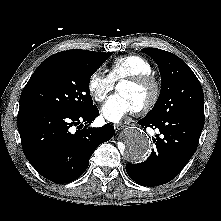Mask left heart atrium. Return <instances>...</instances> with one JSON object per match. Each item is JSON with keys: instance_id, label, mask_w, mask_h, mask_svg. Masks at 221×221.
<instances>
[{"instance_id": "39dd6f15", "label": "left heart atrium", "mask_w": 221, "mask_h": 221, "mask_svg": "<svg viewBox=\"0 0 221 221\" xmlns=\"http://www.w3.org/2000/svg\"><path fill=\"white\" fill-rule=\"evenodd\" d=\"M134 111L133 104L125 95L119 92L109 97L101 108L102 116L110 122H119Z\"/></svg>"}]
</instances>
